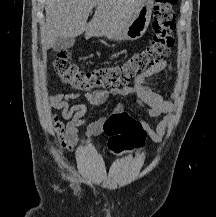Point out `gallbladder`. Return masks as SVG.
I'll return each instance as SVG.
<instances>
[{
	"instance_id": "obj_1",
	"label": "gallbladder",
	"mask_w": 216,
	"mask_h": 217,
	"mask_svg": "<svg viewBox=\"0 0 216 217\" xmlns=\"http://www.w3.org/2000/svg\"><path fill=\"white\" fill-rule=\"evenodd\" d=\"M74 43V37H58L52 47L54 51H61L71 48L74 45Z\"/></svg>"
}]
</instances>
